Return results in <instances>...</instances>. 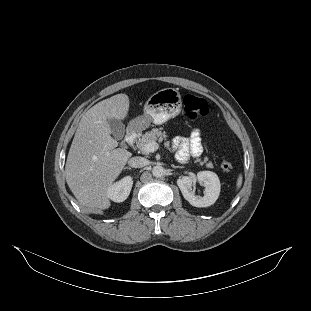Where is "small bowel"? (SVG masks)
<instances>
[{"label":"small bowel","mask_w":311,"mask_h":311,"mask_svg":"<svg viewBox=\"0 0 311 311\" xmlns=\"http://www.w3.org/2000/svg\"><path fill=\"white\" fill-rule=\"evenodd\" d=\"M172 148L176 151V158L186 162L190 158H197L203 151L200 130L195 128L189 137L178 136L172 141Z\"/></svg>","instance_id":"c3829d8e"}]
</instances>
